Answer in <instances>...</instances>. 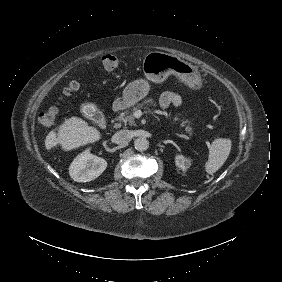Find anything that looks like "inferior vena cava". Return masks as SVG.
<instances>
[{
    "mask_svg": "<svg viewBox=\"0 0 282 282\" xmlns=\"http://www.w3.org/2000/svg\"><path fill=\"white\" fill-rule=\"evenodd\" d=\"M131 138L129 130H120L114 135V140L118 144H127Z\"/></svg>",
    "mask_w": 282,
    "mask_h": 282,
    "instance_id": "1",
    "label": "inferior vena cava"
}]
</instances>
